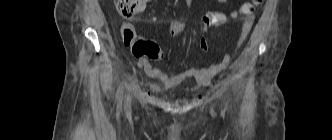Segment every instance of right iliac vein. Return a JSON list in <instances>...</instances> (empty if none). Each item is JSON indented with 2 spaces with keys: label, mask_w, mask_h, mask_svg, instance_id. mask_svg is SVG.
I'll return each mask as SVG.
<instances>
[{
  "label": "right iliac vein",
  "mask_w": 332,
  "mask_h": 140,
  "mask_svg": "<svg viewBox=\"0 0 332 140\" xmlns=\"http://www.w3.org/2000/svg\"><path fill=\"white\" fill-rule=\"evenodd\" d=\"M130 105H131V98L129 95H126L125 104H124L125 109L128 110L130 108Z\"/></svg>",
  "instance_id": "1"
}]
</instances>
